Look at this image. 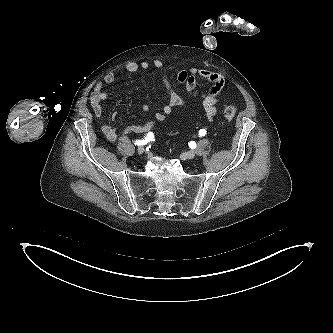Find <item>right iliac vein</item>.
Instances as JSON below:
<instances>
[{
	"instance_id": "right-iliac-vein-1",
	"label": "right iliac vein",
	"mask_w": 333,
	"mask_h": 333,
	"mask_svg": "<svg viewBox=\"0 0 333 333\" xmlns=\"http://www.w3.org/2000/svg\"><path fill=\"white\" fill-rule=\"evenodd\" d=\"M137 152H138V154H143L144 147H142V146L138 147Z\"/></svg>"
}]
</instances>
